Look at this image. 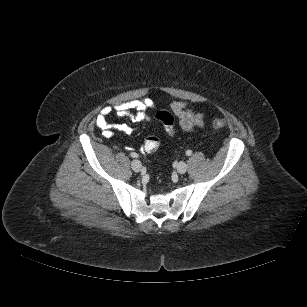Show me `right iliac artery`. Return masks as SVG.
I'll list each match as a JSON object with an SVG mask.
<instances>
[{
    "label": "right iliac artery",
    "mask_w": 307,
    "mask_h": 307,
    "mask_svg": "<svg viewBox=\"0 0 307 307\" xmlns=\"http://www.w3.org/2000/svg\"><path fill=\"white\" fill-rule=\"evenodd\" d=\"M131 156L134 157V158L138 157V155L136 153H131Z\"/></svg>",
    "instance_id": "obj_1"
}]
</instances>
